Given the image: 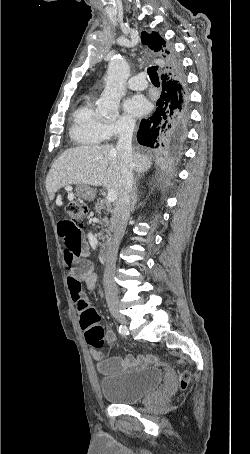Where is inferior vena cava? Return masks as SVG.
Returning <instances> with one entry per match:
<instances>
[{
  "label": "inferior vena cava",
  "mask_w": 250,
  "mask_h": 454,
  "mask_svg": "<svg viewBox=\"0 0 250 454\" xmlns=\"http://www.w3.org/2000/svg\"><path fill=\"white\" fill-rule=\"evenodd\" d=\"M135 124L130 122L122 129L116 149L121 158L122 176L121 188L112 219L113 246L104 271V290L108 305L118 304V291L114 283V272L117 251L124 236L126 223L130 217L131 201L133 196V161H132V136Z\"/></svg>",
  "instance_id": "1"
}]
</instances>
